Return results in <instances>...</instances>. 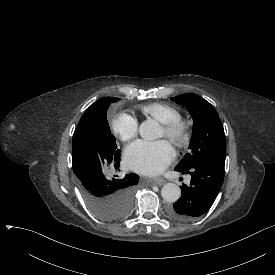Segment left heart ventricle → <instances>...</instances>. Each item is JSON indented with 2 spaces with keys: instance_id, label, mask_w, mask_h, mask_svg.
I'll list each match as a JSON object with an SVG mask.
<instances>
[{
  "instance_id": "1",
  "label": "left heart ventricle",
  "mask_w": 275,
  "mask_h": 275,
  "mask_svg": "<svg viewBox=\"0 0 275 275\" xmlns=\"http://www.w3.org/2000/svg\"><path fill=\"white\" fill-rule=\"evenodd\" d=\"M164 136V130L162 129L161 135L159 137Z\"/></svg>"
}]
</instances>
